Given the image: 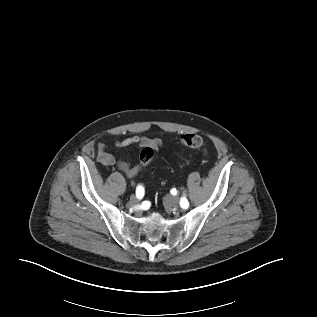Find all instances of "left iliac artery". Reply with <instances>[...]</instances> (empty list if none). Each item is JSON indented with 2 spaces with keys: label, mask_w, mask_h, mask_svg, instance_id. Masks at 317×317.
Instances as JSON below:
<instances>
[{
  "label": "left iliac artery",
  "mask_w": 317,
  "mask_h": 317,
  "mask_svg": "<svg viewBox=\"0 0 317 317\" xmlns=\"http://www.w3.org/2000/svg\"><path fill=\"white\" fill-rule=\"evenodd\" d=\"M180 205L182 208H188L189 207V202L185 197H182L180 200Z\"/></svg>",
  "instance_id": "1"
}]
</instances>
